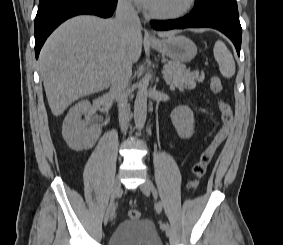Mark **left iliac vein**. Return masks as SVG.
Listing matches in <instances>:
<instances>
[{
	"instance_id": "obj_1",
	"label": "left iliac vein",
	"mask_w": 283,
	"mask_h": 245,
	"mask_svg": "<svg viewBox=\"0 0 283 245\" xmlns=\"http://www.w3.org/2000/svg\"><path fill=\"white\" fill-rule=\"evenodd\" d=\"M140 190L143 192L144 195L150 196L151 192L154 190L153 183L147 178L145 182L140 185ZM163 230V229H162ZM167 236H170V229H164Z\"/></svg>"
}]
</instances>
